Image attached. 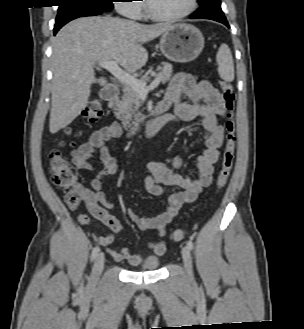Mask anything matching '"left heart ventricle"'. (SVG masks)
<instances>
[{"label":"left heart ventricle","mask_w":304,"mask_h":329,"mask_svg":"<svg viewBox=\"0 0 304 329\" xmlns=\"http://www.w3.org/2000/svg\"><path fill=\"white\" fill-rule=\"evenodd\" d=\"M152 10L161 15H173L185 11L190 0H148Z\"/></svg>","instance_id":"b2bd125f"}]
</instances>
